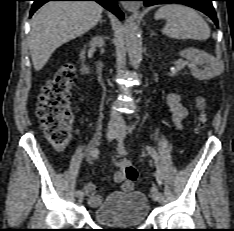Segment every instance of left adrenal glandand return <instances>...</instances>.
Listing matches in <instances>:
<instances>
[{
  "label": "left adrenal gland",
  "instance_id": "left-adrenal-gland-1",
  "mask_svg": "<svg viewBox=\"0 0 234 231\" xmlns=\"http://www.w3.org/2000/svg\"><path fill=\"white\" fill-rule=\"evenodd\" d=\"M154 35H156V33H154V31H153V30H151L150 37H153Z\"/></svg>",
  "mask_w": 234,
  "mask_h": 231
}]
</instances>
